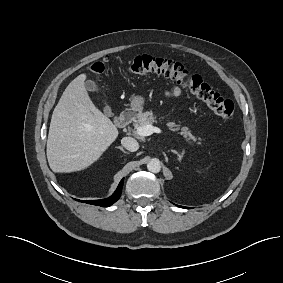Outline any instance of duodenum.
I'll return each mask as SVG.
<instances>
[{"mask_svg":"<svg viewBox=\"0 0 283 283\" xmlns=\"http://www.w3.org/2000/svg\"><path fill=\"white\" fill-rule=\"evenodd\" d=\"M137 113L133 109L122 112L115 120V124L122 128L129 125L136 117Z\"/></svg>","mask_w":283,"mask_h":283,"instance_id":"duodenum-1","label":"duodenum"}]
</instances>
